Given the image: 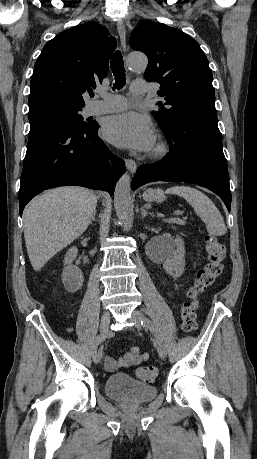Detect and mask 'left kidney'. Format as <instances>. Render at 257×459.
Masks as SVG:
<instances>
[{"instance_id":"left-kidney-1","label":"left kidney","mask_w":257,"mask_h":459,"mask_svg":"<svg viewBox=\"0 0 257 459\" xmlns=\"http://www.w3.org/2000/svg\"><path fill=\"white\" fill-rule=\"evenodd\" d=\"M163 255L165 258L163 267L166 273L173 278L180 277L185 270V248L182 238L177 236L173 242H169Z\"/></svg>"}]
</instances>
